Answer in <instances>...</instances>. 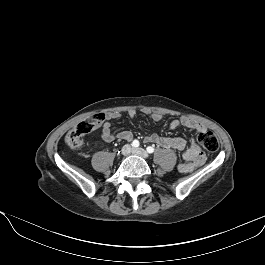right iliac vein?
Returning <instances> with one entry per match:
<instances>
[{
    "label": "right iliac vein",
    "mask_w": 265,
    "mask_h": 265,
    "mask_svg": "<svg viewBox=\"0 0 265 265\" xmlns=\"http://www.w3.org/2000/svg\"><path fill=\"white\" fill-rule=\"evenodd\" d=\"M131 150H132L131 146L128 145V144H126V145H124V146L122 147V149H121V153H122V155H124V156H128V155L131 153Z\"/></svg>",
    "instance_id": "1"
}]
</instances>
